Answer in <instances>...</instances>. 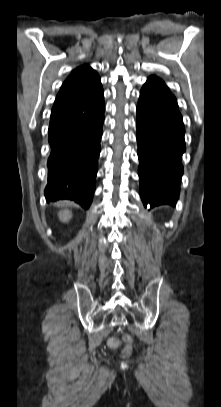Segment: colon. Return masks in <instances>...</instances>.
Wrapping results in <instances>:
<instances>
[{"label": "colon", "instance_id": "obj_1", "mask_svg": "<svg viewBox=\"0 0 221 407\" xmlns=\"http://www.w3.org/2000/svg\"><path fill=\"white\" fill-rule=\"evenodd\" d=\"M123 342V350L122 353L124 355H130L132 353L133 350V340L130 336H126L123 338L122 340ZM109 346L111 348H115L119 345V341L116 339H110L108 342Z\"/></svg>", "mask_w": 221, "mask_h": 407}]
</instances>
